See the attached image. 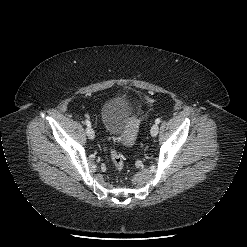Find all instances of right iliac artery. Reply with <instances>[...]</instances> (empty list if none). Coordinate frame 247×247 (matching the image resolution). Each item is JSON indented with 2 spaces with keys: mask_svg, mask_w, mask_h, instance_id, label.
I'll use <instances>...</instances> for the list:
<instances>
[{
  "mask_svg": "<svg viewBox=\"0 0 247 247\" xmlns=\"http://www.w3.org/2000/svg\"><path fill=\"white\" fill-rule=\"evenodd\" d=\"M85 123H86V125H87L88 127H91V123H90V121H89L88 119L85 121Z\"/></svg>",
  "mask_w": 247,
  "mask_h": 247,
  "instance_id": "right-iliac-artery-1",
  "label": "right iliac artery"
}]
</instances>
